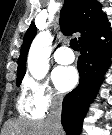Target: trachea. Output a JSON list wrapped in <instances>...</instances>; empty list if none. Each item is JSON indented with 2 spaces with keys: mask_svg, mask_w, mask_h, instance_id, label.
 <instances>
[{
  "mask_svg": "<svg viewBox=\"0 0 112 135\" xmlns=\"http://www.w3.org/2000/svg\"><path fill=\"white\" fill-rule=\"evenodd\" d=\"M70 47L74 50V51H78V41L76 38L71 39L70 41Z\"/></svg>",
  "mask_w": 112,
  "mask_h": 135,
  "instance_id": "trachea-1",
  "label": "trachea"
}]
</instances>
